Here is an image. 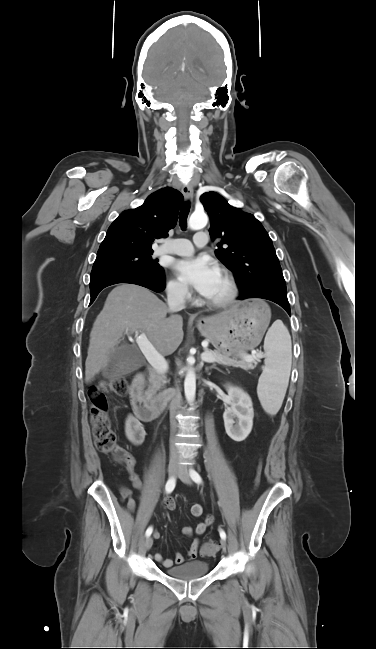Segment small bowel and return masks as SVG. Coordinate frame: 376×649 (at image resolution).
Masks as SVG:
<instances>
[{"instance_id": "obj_1", "label": "small bowel", "mask_w": 376, "mask_h": 649, "mask_svg": "<svg viewBox=\"0 0 376 649\" xmlns=\"http://www.w3.org/2000/svg\"><path fill=\"white\" fill-rule=\"evenodd\" d=\"M124 433L127 440L133 445H139L143 441L145 436V431L142 423L133 415H128L126 417L124 422ZM128 473H129V480L132 486L138 491L142 490V482L139 476L134 472V468L128 470ZM119 496L123 502H126V505L131 512L135 511L136 501L132 497V492L129 488H127L126 486H120ZM163 505L167 510L170 511L174 510L176 507L175 500L172 497L165 498ZM202 513H203V508L200 504H194L191 507V514L194 517H200ZM213 522H214V517L212 515H207L202 522H199L194 527H184L182 529V532L186 536H192V535L199 536L202 535L206 531V529L213 524ZM153 537L155 539H159L161 537L160 532L154 531ZM199 545H200L199 540L194 539L190 545L186 557H184L180 552H177L173 559L164 558L160 553L157 552L154 554V559L158 563L162 564L163 567L170 568L175 564L177 565L182 564L185 561V559L188 561L194 560L198 555Z\"/></svg>"}]
</instances>
